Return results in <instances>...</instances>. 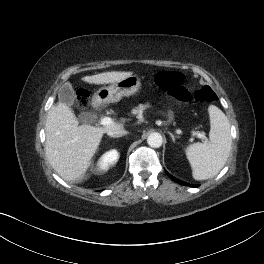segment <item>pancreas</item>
Segmentation results:
<instances>
[{"instance_id": "cf45deb5", "label": "pancreas", "mask_w": 264, "mask_h": 264, "mask_svg": "<svg viewBox=\"0 0 264 264\" xmlns=\"http://www.w3.org/2000/svg\"><path fill=\"white\" fill-rule=\"evenodd\" d=\"M149 107V104H146V105H143V104H140L138 105L135 109L132 110V114L133 115H137V114H140L143 112L144 109L148 108Z\"/></svg>"}]
</instances>
